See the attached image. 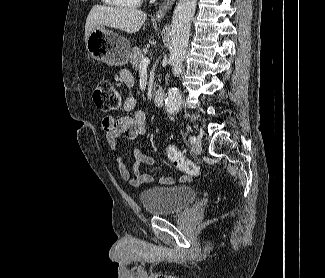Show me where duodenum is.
Masks as SVG:
<instances>
[{"mask_svg":"<svg viewBox=\"0 0 325 278\" xmlns=\"http://www.w3.org/2000/svg\"><path fill=\"white\" fill-rule=\"evenodd\" d=\"M153 100H154L155 105L158 108H162L164 106L165 94H164V91L161 88L155 89V91L153 93Z\"/></svg>","mask_w":325,"mask_h":278,"instance_id":"obj_1","label":"duodenum"}]
</instances>
